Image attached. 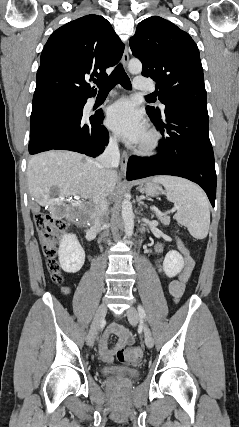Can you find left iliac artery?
<instances>
[{"instance_id": "left-iliac-artery-1", "label": "left iliac artery", "mask_w": 239, "mask_h": 427, "mask_svg": "<svg viewBox=\"0 0 239 427\" xmlns=\"http://www.w3.org/2000/svg\"><path fill=\"white\" fill-rule=\"evenodd\" d=\"M138 311L141 318L147 319L145 310L141 305H138Z\"/></svg>"}]
</instances>
